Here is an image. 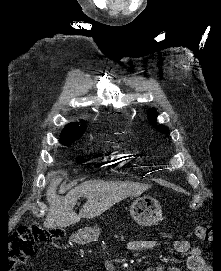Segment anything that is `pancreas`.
<instances>
[{"label":"pancreas","mask_w":221,"mask_h":271,"mask_svg":"<svg viewBox=\"0 0 221 271\" xmlns=\"http://www.w3.org/2000/svg\"><path fill=\"white\" fill-rule=\"evenodd\" d=\"M111 240L113 242H124V237H113Z\"/></svg>","instance_id":"cf45deb5"}]
</instances>
